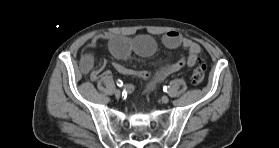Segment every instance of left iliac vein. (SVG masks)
<instances>
[{
	"mask_svg": "<svg viewBox=\"0 0 279 148\" xmlns=\"http://www.w3.org/2000/svg\"><path fill=\"white\" fill-rule=\"evenodd\" d=\"M161 101H162L163 103H168V102H169V98H168L167 96H162V97H161Z\"/></svg>",
	"mask_w": 279,
	"mask_h": 148,
	"instance_id": "4c4485c4",
	"label": "left iliac vein"
}]
</instances>
